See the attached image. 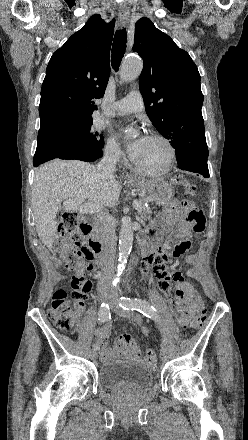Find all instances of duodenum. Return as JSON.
Masks as SVG:
<instances>
[{
    "label": "duodenum",
    "instance_id": "duodenum-1",
    "mask_svg": "<svg viewBox=\"0 0 248 440\" xmlns=\"http://www.w3.org/2000/svg\"><path fill=\"white\" fill-rule=\"evenodd\" d=\"M82 232L87 237L88 242L93 249V251L99 256V258L104 257V247L102 241L92 234L91 222L88 219L82 221ZM156 251L154 245L149 242H145L142 245V254L144 256H149Z\"/></svg>",
    "mask_w": 248,
    "mask_h": 440
}]
</instances>
